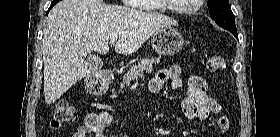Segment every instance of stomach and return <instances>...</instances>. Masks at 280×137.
Listing matches in <instances>:
<instances>
[{
  "label": "stomach",
  "mask_w": 280,
  "mask_h": 137,
  "mask_svg": "<svg viewBox=\"0 0 280 137\" xmlns=\"http://www.w3.org/2000/svg\"><path fill=\"white\" fill-rule=\"evenodd\" d=\"M151 43L158 54L172 56L182 49L184 40L179 31L172 27H165L152 35ZM87 88L94 90L90 84H87Z\"/></svg>",
  "instance_id": "obj_1"
}]
</instances>
